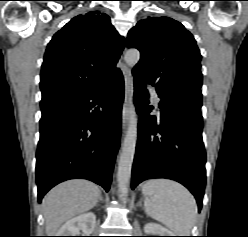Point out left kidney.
Wrapping results in <instances>:
<instances>
[{
  "instance_id": "left-kidney-1",
  "label": "left kidney",
  "mask_w": 248,
  "mask_h": 237,
  "mask_svg": "<svg viewBox=\"0 0 248 237\" xmlns=\"http://www.w3.org/2000/svg\"><path fill=\"white\" fill-rule=\"evenodd\" d=\"M144 232L152 236H174L173 232L156 223H148L144 226Z\"/></svg>"
}]
</instances>
